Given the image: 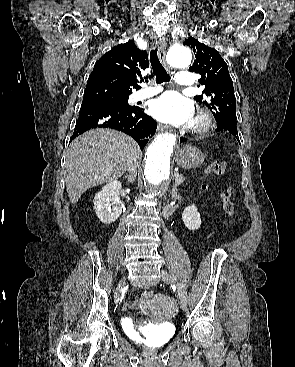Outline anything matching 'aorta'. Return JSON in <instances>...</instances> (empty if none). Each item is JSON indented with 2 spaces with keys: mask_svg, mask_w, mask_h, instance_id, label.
<instances>
[{
  "mask_svg": "<svg viewBox=\"0 0 295 367\" xmlns=\"http://www.w3.org/2000/svg\"><path fill=\"white\" fill-rule=\"evenodd\" d=\"M167 62L175 68L191 65L192 55L184 46L172 47L167 53ZM176 143V135L161 133L156 136L146 151L145 183L153 191L161 189L170 178V156Z\"/></svg>",
  "mask_w": 295,
  "mask_h": 367,
  "instance_id": "aorta-1",
  "label": "aorta"
}]
</instances>
